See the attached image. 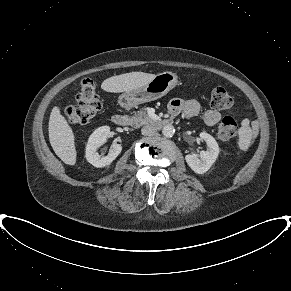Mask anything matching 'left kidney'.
<instances>
[{"instance_id":"5707ae66","label":"left kidney","mask_w":291,"mask_h":291,"mask_svg":"<svg viewBox=\"0 0 291 291\" xmlns=\"http://www.w3.org/2000/svg\"><path fill=\"white\" fill-rule=\"evenodd\" d=\"M200 137L206 142L207 150L201 151L200 158L196 154H187L185 156L188 166L197 174L206 173L214 164L219 154L218 143L210 134L201 132Z\"/></svg>"}]
</instances>
